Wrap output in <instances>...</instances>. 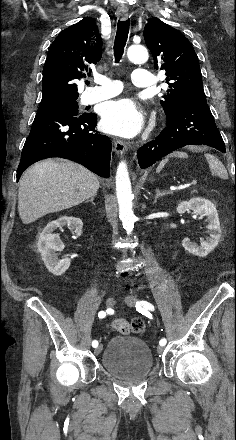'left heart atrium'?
Wrapping results in <instances>:
<instances>
[{"instance_id":"1","label":"left heart atrium","mask_w":236,"mask_h":440,"mask_svg":"<svg viewBox=\"0 0 236 440\" xmlns=\"http://www.w3.org/2000/svg\"><path fill=\"white\" fill-rule=\"evenodd\" d=\"M102 126L110 134L133 137L142 127L141 112L127 98L110 102L103 110Z\"/></svg>"}]
</instances>
